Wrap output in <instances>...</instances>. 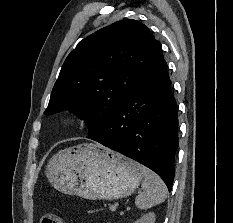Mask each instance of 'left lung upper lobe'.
Masks as SVG:
<instances>
[{
	"label": "left lung upper lobe",
	"instance_id": "1",
	"mask_svg": "<svg viewBox=\"0 0 233 223\" xmlns=\"http://www.w3.org/2000/svg\"><path fill=\"white\" fill-rule=\"evenodd\" d=\"M160 48L148 27L136 20L96 31L66 58L44 114L69 110L85 119L87 138L93 137L127 101Z\"/></svg>",
	"mask_w": 233,
	"mask_h": 223
}]
</instances>
